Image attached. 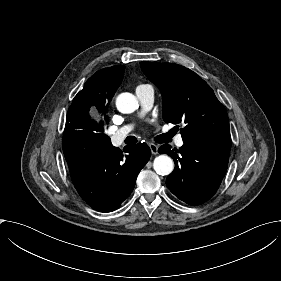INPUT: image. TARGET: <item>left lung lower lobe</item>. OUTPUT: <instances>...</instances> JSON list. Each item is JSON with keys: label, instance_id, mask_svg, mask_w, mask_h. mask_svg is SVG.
I'll return each instance as SVG.
<instances>
[{"label": "left lung lower lobe", "instance_id": "1", "mask_svg": "<svg viewBox=\"0 0 281 281\" xmlns=\"http://www.w3.org/2000/svg\"><path fill=\"white\" fill-rule=\"evenodd\" d=\"M230 148V142H184L179 150L162 145L159 152L175 161V169L166 179L167 187L189 205L206 202L226 174Z\"/></svg>", "mask_w": 281, "mask_h": 281}]
</instances>
